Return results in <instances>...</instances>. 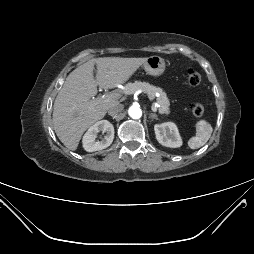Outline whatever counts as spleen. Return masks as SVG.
<instances>
[{"label": "spleen", "instance_id": "3e777b00", "mask_svg": "<svg viewBox=\"0 0 254 254\" xmlns=\"http://www.w3.org/2000/svg\"><path fill=\"white\" fill-rule=\"evenodd\" d=\"M213 132V128L210 123L205 120H200L196 124V135L189 139L188 146L191 149H198L204 146L211 134Z\"/></svg>", "mask_w": 254, "mask_h": 254}]
</instances>
